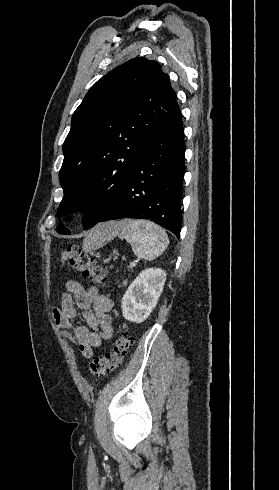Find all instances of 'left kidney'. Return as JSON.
<instances>
[{"label": "left kidney", "instance_id": "left-kidney-1", "mask_svg": "<svg viewBox=\"0 0 279 490\" xmlns=\"http://www.w3.org/2000/svg\"><path fill=\"white\" fill-rule=\"evenodd\" d=\"M166 272L161 268L143 270L122 298V314L128 322L141 324L150 316L165 286Z\"/></svg>", "mask_w": 279, "mask_h": 490}]
</instances>
